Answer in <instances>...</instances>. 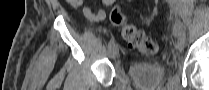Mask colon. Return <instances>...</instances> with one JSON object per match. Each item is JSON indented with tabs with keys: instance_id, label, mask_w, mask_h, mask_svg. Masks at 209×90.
Masks as SVG:
<instances>
[{
	"instance_id": "obj_1",
	"label": "colon",
	"mask_w": 209,
	"mask_h": 90,
	"mask_svg": "<svg viewBox=\"0 0 209 90\" xmlns=\"http://www.w3.org/2000/svg\"><path fill=\"white\" fill-rule=\"evenodd\" d=\"M110 19L115 26L120 28L122 37L129 47L138 49L144 55H154L157 52L158 46L156 42L142 30L127 23L118 7L112 9Z\"/></svg>"
}]
</instances>
